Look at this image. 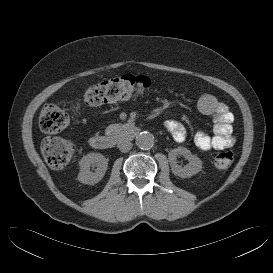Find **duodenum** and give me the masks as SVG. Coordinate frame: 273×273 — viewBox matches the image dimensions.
<instances>
[{
	"label": "duodenum",
	"mask_w": 273,
	"mask_h": 273,
	"mask_svg": "<svg viewBox=\"0 0 273 273\" xmlns=\"http://www.w3.org/2000/svg\"><path fill=\"white\" fill-rule=\"evenodd\" d=\"M139 133V128L132 124H123L119 127V133L108 135H93L89 139V144L92 148L97 150L110 149L115 144L128 137H135Z\"/></svg>",
	"instance_id": "410a0bca"
}]
</instances>
